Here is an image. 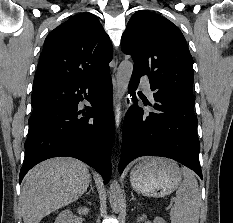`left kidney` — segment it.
Returning a JSON list of instances; mask_svg holds the SVG:
<instances>
[{"mask_svg": "<svg viewBox=\"0 0 233 223\" xmlns=\"http://www.w3.org/2000/svg\"><path fill=\"white\" fill-rule=\"evenodd\" d=\"M146 215L145 213H142V215H139V217H137V221H144ZM153 223H166L165 219H163V217H155V219H153Z\"/></svg>", "mask_w": 233, "mask_h": 223, "instance_id": "5707ae66", "label": "left kidney"}]
</instances>
